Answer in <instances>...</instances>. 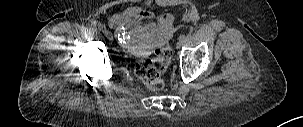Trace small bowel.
<instances>
[{"label": "small bowel", "instance_id": "obj_1", "mask_svg": "<svg viewBox=\"0 0 303 127\" xmlns=\"http://www.w3.org/2000/svg\"><path fill=\"white\" fill-rule=\"evenodd\" d=\"M119 40L139 53H145L167 42L173 34L172 17L168 14L155 18L147 6H133L108 16ZM130 35L135 43L126 40Z\"/></svg>", "mask_w": 303, "mask_h": 127}]
</instances>
